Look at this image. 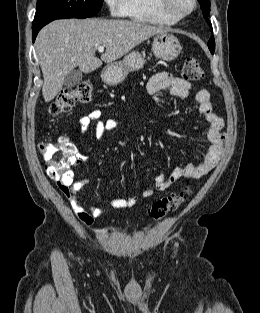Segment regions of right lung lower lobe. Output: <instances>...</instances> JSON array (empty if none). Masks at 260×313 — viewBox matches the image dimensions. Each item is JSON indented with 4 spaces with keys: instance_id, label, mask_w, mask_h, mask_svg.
<instances>
[{
    "instance_id": "right-lung-lower-lobe-1",
    "label": "right lung lower lobe",
    "mask_w": 260,
    "mask_h": 313,
    "mask_svg": "<svg viewBox=\"0 0 260 313\" xmlns=\"http://www.w3.org/2000/svg\"><path fill=\"white\" fill-rule=\"evenodd\" d=\"M52 20L50 19H45V20H34L33 21V25H32V37H33V41L35 40L39 30L45 26L46 24H48L49 22H51Z\"/></svg>"
}]
</instances>
